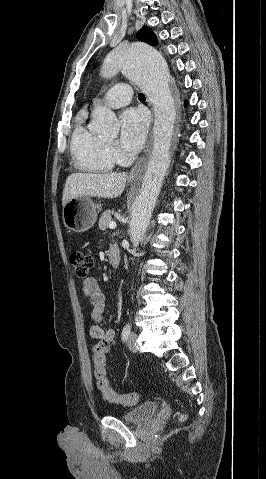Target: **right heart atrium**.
<instances>
[{"label":"right heart atrium","instance_id":"1","mask_svg":"<svg viewBox=\"0 0 266 479\" xmlns=\"http://www.w3.org/2000/svg\"><path fill=\"white\" fill-rule=\"evenodd\" d=\"M109 151L115 159H117V160L122 159L121 154L119 153V151L114 146H109Z\"/></svg>","mask_w":266,"mask_h":479}]
</instances>
